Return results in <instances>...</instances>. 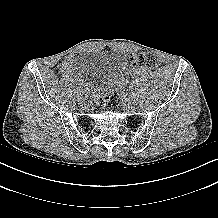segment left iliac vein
<instances>
[{
    "instance_id": "obj_1",
    "label": "left iliac vein",
    "mask_w": 218,
    "mask_h": 218,
    "mask_svg": "<svg viewBox=\"0 0 218 218\" xmlns=\"http://www.w3.org/2000/svg\"><path fill=\"white\" fill-rule=\"evenodd\" d=\"M124 106H125L126 108H130V107H131V101L128 100V99H125V100H124Z\"/></svg>"
}]
</instances>
